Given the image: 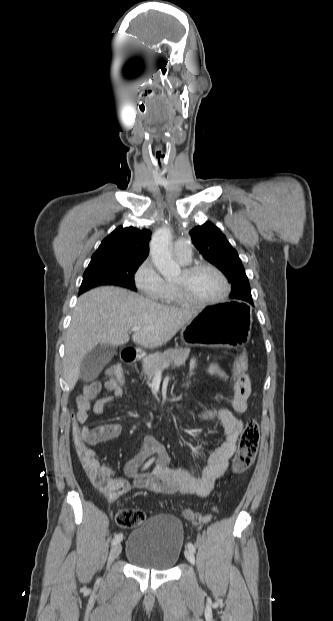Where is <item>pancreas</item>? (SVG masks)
<instances>
[{
	"instance_id": "cf45deb5",
	"label": "pancreas",
	"mask_w": 333,
	"mask_h": 621,
	"mask_svg": "<svg viewBox=\"0 0 333 621\" xmlns=\"http://www.w3.org/2000/svg\"><path fill=\"white\" fill-rule=\"evenodd\" d=\"M190 354V348L168 349L164 353H155L142 359L143 372L151 379L157 372H162L170 365L181 366Z\"/></svg>"
}]
</instances>
